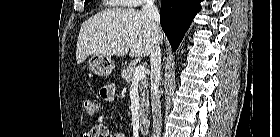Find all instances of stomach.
<instances>
[{
    "mask_svg": "<svg viewBox=\"0 0 280 137\" xmlns=\"http://www.w3.org/2000/svg\"><path fill=\"white\" fill-rule=\"evenodd\" d=\"M89 69L97 76H109L113 69L114 63L108 56H102L94 54L90 57L89 61Z\"/></svg>",
    "mask_w": 280,
    "mask_h": 137,
    "instance_id": "0dacf381",
    "label": "stomach"
}]
</instances>
